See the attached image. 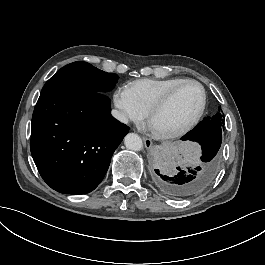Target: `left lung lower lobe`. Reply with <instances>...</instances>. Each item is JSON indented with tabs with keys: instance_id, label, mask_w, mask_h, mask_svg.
<instances>
[{
	"instance_id": "0a47b994",
	"label": "left lung lower lobe",
	"mask_w": 265,
	"mask_h": 265,
	"mask_svg": "<svg viewBox=\"0 0 265 265\" xmlns=\"http://www.w3.org/2000/svg\"><path fill=\"white\" fill-rule=\"evenodd\" d=\"M182 140L200 145L201 153L195 165L191 168L176 166L178 159L175 153L164 150L156 156L151 172L154 185L171 198H190L205 191L221 164L222 126L209 117L183 136Z\"/></svg>"
}]
</instances>
